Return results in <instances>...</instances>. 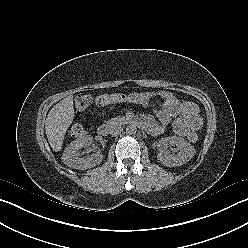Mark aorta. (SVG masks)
Wrapping results in <instances>:
<instances>
[{
    "mask_svg": "<svg viewBox=\"0 0 248 248\" xmlns=\"http://www.w3.org/2000/svg\"><path fill=\"white\" fill-rule=\"evenodd\" d=\"M137 131V128L134 124H129L127 127H126V133L129 134V135H132V134H135Z\"/></svg>",
    "mask_w": 248,
    "mask_h": 248,
    "instance_id": "1",
    "label": "aorta"
}]
</instances>
